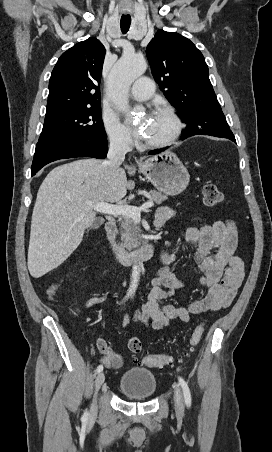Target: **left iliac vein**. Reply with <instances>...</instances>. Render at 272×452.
Masks as SVG:
<instances>
[{"instance_id": "obj_1", "label": "left iliac vein", "mask_w": 272, "mask_h": 452, "mask_svg": "<svg viewBox=\"0 0 272 452\" xmlns=\"http://www.w3.org/2000/svg\"><path fill=\"white\" fill-rule=\"evenodd\" d=\"M173 388H174V403L176 410L179 414H182L184 411V399L182 391L178 384H174Z\"/></svg>"}]
</instances>
